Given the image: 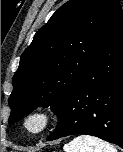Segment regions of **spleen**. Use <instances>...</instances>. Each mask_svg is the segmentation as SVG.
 Listing matches in <instances>:
<instances>
[{
    "label": "spleen",
    "mask_w": 123,
    "mask_h": 152,
    "mask_svg": "<svg viewBox=\"0 0 123 152\" xmlns=\"http://www.w3.org/2000/svg\"><path fill=\"white\" fill-rule=\"evenodd\" d=\"M65 152H117L105 141L90 135H80L64 146Z\"/></svg>",
    "instance_id": "obj_1"
}]
</instances>
